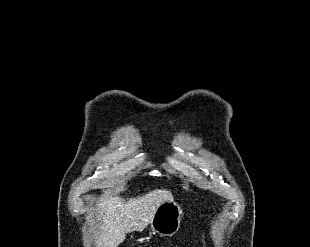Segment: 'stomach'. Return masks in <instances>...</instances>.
<instances>
[{
	"label": "stomach",
	"instance_id": "stomach-1",
	"mask_svg": "<svg viewBox=\"0 0 310 247\" xmlns=\"http://www.w3.org/2000/svg\"><path fill=\"white\" fill-rule=\"evenodd\" d=\"M183 211L173 200L159 205L150 221L152 230L160 236H172L180 228Z\"/></svg>",
	"mask_w": 310,
	"mask_h": 247
}]
</instances>
